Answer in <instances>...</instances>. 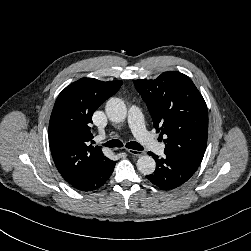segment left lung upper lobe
Masks as SVG:
<instances>
[{"instance_id":"5c2ea615","label":"left lung upper lobe","mask_w":251,"mask_h":251,"mask_svg":"<svg viewBox=\"0 0 251 251\" xmlns=\"http://www.w3.org/2000/svg\"><path fill=\"white\" fill-rule=\"evenodd\" d=\"M160 137L167 136L164 153L200 165L207 144L208 111L192 82L180 72L168 71L155 80L134 82Z\"/></svg>"}]
</instances>
